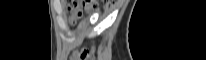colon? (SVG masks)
Segmentation results:
<instances>
[{
    "instance_id": "colon-1",
    "label": "colon",
    "mask_w": 206,
    "mask_h": 60,
    "mask_svg": "<svg viewBox=\"0 0 206 60\" xmlns=\"http://www.w3.org/2000/svg\"><path fill=\"white\" fill-rule=\"evenodd\" d=\"M95 0H72L67 1V9L70 11H77L80 13L82 9L87 8L89 6H93L95 4ZM89 56V52L87 50L80 53L79 57L82 60L87 59Z\"/></svg>"
}]
</instances>
